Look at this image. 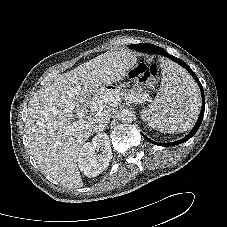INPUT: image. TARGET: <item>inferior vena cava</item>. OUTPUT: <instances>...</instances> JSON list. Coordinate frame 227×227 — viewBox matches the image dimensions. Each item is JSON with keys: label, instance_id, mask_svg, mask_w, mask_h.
<instances>
[{"label": "inferior vena cava", "instance_id": "obj_1", "mask_svg": "<svg viewBox=\"0 0 227 227\" xmlns=\"http://www.w3.org/2000/svg\"><path fill=\"white\" fill-rule=\"evenodd\" d=\"M109 120H110V117L106 114L98 115L95 118L94 123L92 125L93 130L95 132H100V131L104 130V128L108 124Z\"/></svg>", "mask_w": 227, "mask_h": 227}]
</instances>
